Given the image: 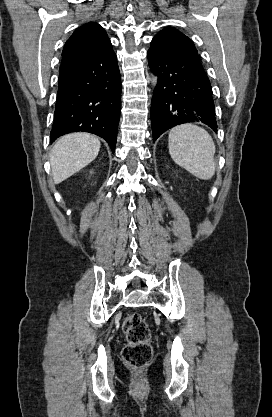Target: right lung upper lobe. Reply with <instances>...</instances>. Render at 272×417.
<instances>
[{"instance_id":"right-lung-upper-lobe-1","label":"right lung upper lobe","mask_w":272,"mask_h":417,"mask_svg":"<svg viewBox=\"0 0 272 417\" xmlns=\"http://www.w3.org/2000/svg\"><path fill=\"white\" fill-rule=\"evenodd\" d=\"M110 40L97 23H87L77 28L65 43L62 62L87 59L101 50Z\"/></svg>"}]
</instances>
